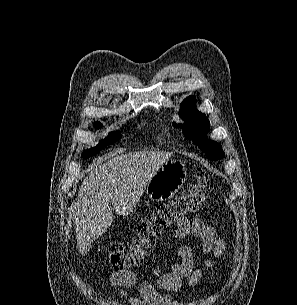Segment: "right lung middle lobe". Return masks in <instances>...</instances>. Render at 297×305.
Segmentation results:
<instances>
[{"instance_id": "right-lung-middle-lobe-1", "label": "right lung middle lobe", "mask_w": 297, "mask_h": 305, "mask_svg": "<svg viewBox=\"0 0 297 305\" xmlns=\"http://www.w3.org/2000/svg\"><path fill=\"white\" fill-rule=\"evenodd\" d=\"M96 126L100 127L101 124L97 123ZM120 138H121V136H120L119 131L110 132L109 136L107 138H105L104 140H101L96 147L91 148L90 150L84 151V153L82 154V157L83 158H88L90 156H93L96 153H98L104 146H108L110 144H113L117 140H119Z\"/></svg>"}]
</instances>
